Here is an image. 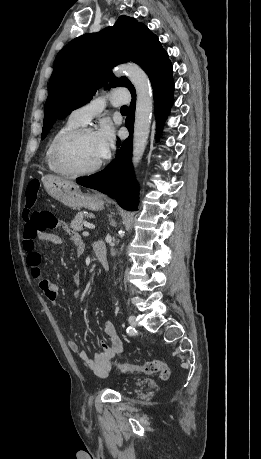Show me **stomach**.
<instances>
[{"label":"stomach","instance_id":"1","mask_svg":"<svg viewBox=\"0 0 261 459\" xmlns=\"http://www.w3.org/2000/svg\"><path fill=\"white\" fill-rule=\"evenodd\" d=\"M42 182L52 198L74 210H101L106 204L105 198L100 194L82 193L79 186L69 180L48 174L43 177Z\"/></svg>","mask_w":261,"mask_h":459}]
</instances>
